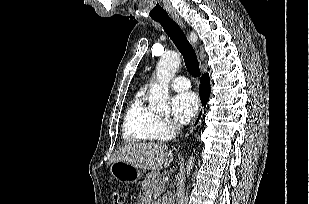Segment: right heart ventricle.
<instances>
[{
	"label": "right heart ventricle",
	"instance_id": "1",
	"mask_svg": "<svg viewBox=\"0 0 309 204\" xmlns=\"http://www.w3.org/2000/svg\"><path fill=\"white\" fill-rule=\"evenodd\" d=\"M158 116L146 105L142 96H137L129 105L122 127L127 142H147L156 139L154 126Z\"/></svg>",
	"mask_w": 309,
	"mask_h": 204
}]
</instances>
